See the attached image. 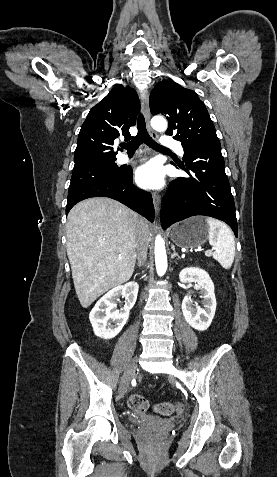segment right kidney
<instances>
[{
    "mask_svg": "<svg viewBox=\"0 0 277 477\" xmlns=\"http://www.w3.org/2000/svg\"><path fill=\"white\" fill-rule=\"evenodd\" d=\"M138 289V284L131 281L125 285L114 287L96 303L89 315L96 336L112 339L120 333L136 302ZM120 296H125L126 301L124 307L119 311L116 309V301Z\"/></svg>",
    "mask_w": 277,
    "mask_h": 477,
    "instance_id": "ca27d5eb",
    "label": "right kidney"
}]
</instances>
